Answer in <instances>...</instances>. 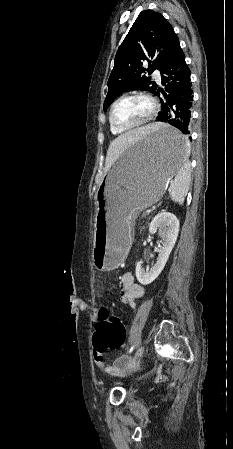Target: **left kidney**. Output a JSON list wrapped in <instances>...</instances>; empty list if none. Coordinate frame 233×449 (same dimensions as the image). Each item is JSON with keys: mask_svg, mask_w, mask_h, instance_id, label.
I'll return each mask as SVG.
<instances>
[{"mask_svg": "<svg viewBox=\"0 0 233 449\" xmlns=\"http://www.w3.org/2000/svg\"><path fill=\"white\" fill-rule=\"evenodd\" d=\"M159 229L162 235L163 243L159 250L155 265L150 271H145L141 262L136 265V277L140 284L148 285L152 283L164 269L169 255L175 245L179 232V220L170 212H161L157 214L150 223L149 233Z\"/></svg>", "mask_w": 233, "mask_h": 449, "instance_id": "5707ae66", "label": "left kidney"}]
</instances>
